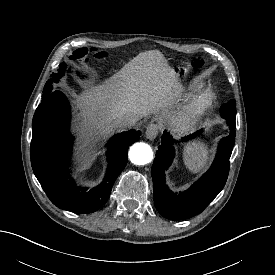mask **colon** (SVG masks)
Listing matches in <instances>:
<instances>
[{
  "label": "colon",
  "mask_w": 275,
  "mask_h": 275,
  "mask_svg": "<svg viewBox=\"0 0 275 275\" xmlns=\"http://www.w3.org/2000/svg\"><path fill=\"white\" fill-rule=\"evenodd\" d=\"M88 57H92L96 60H102L107 57L106 53L103 51H99L96 49H90V50H84V49H79L73 54V59H87ZM203 62L199 59L195 60L193 65L196 68L201 67Z\"/></svg>",
  "instance_id": "1"
}]
</instances>
